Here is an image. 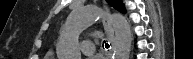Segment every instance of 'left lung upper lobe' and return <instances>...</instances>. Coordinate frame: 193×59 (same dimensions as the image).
I'll use <instances>...</instances> for the list:
<instances>
[{"label":"left lung upper lobe","mask_w":193,"mask_h":59,"mask_svg":"<svg viewBox=\"0 0 193 59\" xmlns=\"http://www.w3.org/2000/svg\"><path fill=\"white\" fill-rule=\"evenodd\" d=\"M107 2L113 6L115 9H117L118 11L125 13V9L124 6L122 4L121 0H107Z\"/></svg>","instance_id":"1"}]
</instances>
